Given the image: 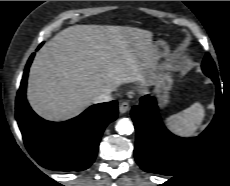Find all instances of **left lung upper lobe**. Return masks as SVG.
Masks as SVG:
<instances>
[{"instance_id": "left-lung-upper-lobe-1", "label": "left lung upper lobe", "mask_w": 230, "mask_h": 186, "mask_svg": "<svg viewBox=\"0 0 230 186\" xmlns=\"http://www.w3.org/2000/svg\"><path fill=\"white\" fill-rule=\"evenodd\" d=\"M202 69H203V72L210 78L218 76L215 64L208 53L206 54L203 60Z\"/></svg>"}]
</instances>
